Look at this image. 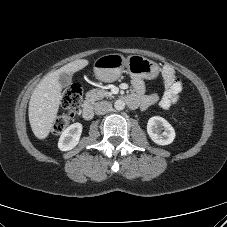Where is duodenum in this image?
<instances>
[{
  "instance_id": "410a0bca",
  "label": "duodenum",
  "mask_w": 227,
  "mask_h": 227,
  "mask_svg": "<svg viewBox=\"0 0 227 227\" xmlns=\"http://www.w3.org/2000/svg\"><path fill=\"white\" fill-rule=\"evenodd\" d=\"M125 101L131 108H135L137 106L135 99L131 96H127L125 98ZM82 116L85 120H91L93 118L94 111H93V105L91 102L89 101L85 102L82 110Z\"/></svg>"
}]
</instances>
